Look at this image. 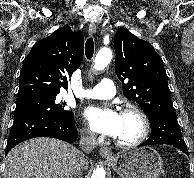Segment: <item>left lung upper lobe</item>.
<instances>
[{"label":"left lung upper lobe","instance_id":"1","mask_svg":"<svg viewBox=\"0 0 194 178\" xmlns=\"http://www.w3.org/2000/svg\"><path fill=\"white\" fill-rule=\"evenodd\" d=\"M115 72L123 83V94L137 102L147 116L174 110L162 58L153 46L127 29L114 38Z\"/></svg>","mask_w":194,"mask_h":178}]
</instances>
